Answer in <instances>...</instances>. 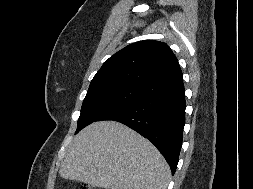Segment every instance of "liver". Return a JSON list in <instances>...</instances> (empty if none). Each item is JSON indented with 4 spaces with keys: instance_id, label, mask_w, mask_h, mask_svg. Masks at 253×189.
Returning <instances> with one entry per match:
<instances>
[{
    "instance_id": "1",
    "label": "liver",
    "mask_w": 253,
    "mask_h": 189,
    "mask_svg": "<svg viewBox=\"0 0 253 189\" xmlns=\"http://www.w3.org/2000/svg\"><path fill=\"white\" fill-rule=\"evenodd\" d=\"M60 176L104 189H167L171 171L146 138L115 121H99L74 138Z\"/></svg>"
}]
</instances>
